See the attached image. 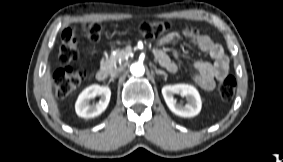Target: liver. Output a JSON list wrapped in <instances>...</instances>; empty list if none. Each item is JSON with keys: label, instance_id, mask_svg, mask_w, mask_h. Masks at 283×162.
Returning a JSON list of instances; mask_svg holds the SVG:
<instances>
[{"label": "liver", "instance_id": "1", "mask_svg": "<svg viewBox=\"0 0 283 162\" xmlns=\"http://www.w3.org/2000/svg\"><path fill=\"white\" fill-rule=\"evenodd\" d=\"M43 91L45 99L48 103L49 109L51 113L56 117L59 118V108L58 104L54 98L53 92H52V79L50 74V67L48 66L47 71L43 77Z\"/></svg>", "mask_w": 283, "mask_h": 162}]
</instances>
